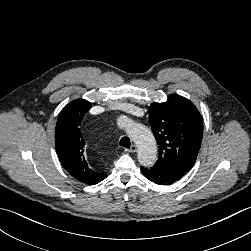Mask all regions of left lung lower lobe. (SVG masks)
<instances>
[{
	"instance_id": "obj_1",
	"label": "left lung lower lobe",
	"mask_w": 251,
	"mask_h": 251,
	"mask_svg": "<svg viewBox=\"0 0 251 251\" xmlns=\"http://www.w3.org/2000/svg\"><path fill=\"white\" fill-rule=\"evenodd\" d=\"M141 171L150 181L160 185L172 184L184 176L182 172L158 166H153L151 168L141 167Z\"/></svg>"
}]
</instances>
